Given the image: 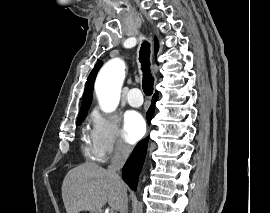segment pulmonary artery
Segmentation results:
<instances>
[{"label":"pulmonary artery","mask_w":270,"mask_h":213,"mask_svg":"<svg viewBox=\"0 0 270 213\" xmlns=\"http://www.w3.org/2000/svg\"><path fill=\"white\" fill-rule=\"evenodd\" d=\"M127 101L133 107H139L143 103V96L138 88H132L127 92Z\"/></svg>","instance_id":"1"}]
</instances>
